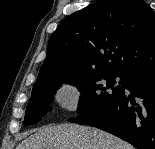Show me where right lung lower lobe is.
Returning a JSON list of instances; mask_svg holds the SVG:
<instances>
[{
  "label": "right lung lower lobe",
  "mask_w": 155,
  "mask_h": 149,
  "mask_svg": "<svg viewBox=\"0 0 155 149\" xmlns=\"http://www.w3.org/2000/svg\"><path fill=\"white\" fill-rule=\"evenodd\" d=\"M122 93L98 116L83 123L107 131L137 149H155V67L125 75Z\"/></svg>",
  "instance_id": "98d812e1"
}]
</instances>
